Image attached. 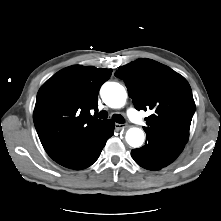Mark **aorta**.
Masks as SVG:
<instances>
[{"label":"aorta","instance_id":"obj_1","mask_svg":"<svg viewBox=\"0 0 221 221\" xmlns=\"http://www.w3.org/2000/svg\"><path fill=\"white\" fill-rule=\"evenodd\" d=\"M101 97L109 107L121 108L126 102L127 93L121 84L116 82H106L101 88ZM144 139V132L139 128H130L126 132V141L134 148L140 147L143 144Z\"/></svg>","mask_w":221,"mask_h":221}]
</instances>
